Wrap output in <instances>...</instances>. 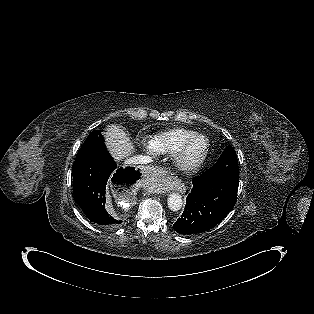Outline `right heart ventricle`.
Returning a JSON list of instances; mask_svg holds the SVG:
<instances>
[{
    "label": "right heart ventricle",
    "mask_w": 314,
    "mask_h": 314,
    "mask_svg": "<svg viewBox=\"0 0 314 314\" xmlns=\"http://www.w3.org/2000/svg\"><path fill=\"white\" fill-rule=\"evenodd\" d=\"M197 133L184 128H174L153 135L149 142V149L155 154H172L179 151L182 145Z\"/></svg>",
    "instance_id": "right-heart-ventricle-1"
}]
</instances>
